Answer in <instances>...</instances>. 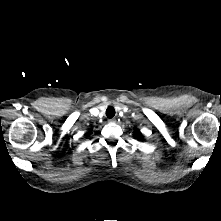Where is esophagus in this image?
Instances as JSON below:
<instances>
[{
  "label": "esophagus",
  "instance_id": "esophagus-1",
  "mask_svg": "<svg viewBox=\"0 0 221 221\" xmlns=\"http://www.w3.org/2000/svg\"><path fill=\"white\" fill-rule=\"evenodd\" d=\"M115 121H116L115 118H111V119H109V122H115Z\"/></svg>",
  "mask_w": 221,
  "mask_h": 221
}]
</instances>
